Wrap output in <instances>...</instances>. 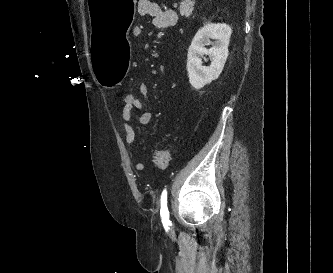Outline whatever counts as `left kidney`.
I'll list each match as a JSON object with an SVG mask.
<instances>
[{
	"instance_id": "1",
	"label": "left kidney",
	"mask_w": 333,
	"mask_h": 273,
	"mask_svg": "<svg viewBox=\"0 0 333 273\" xmlns=\"http://www.w3.org/2000/svg\"><path fill=\"white\" fill-rule=\"evenodd\" d=\"M231 33L229 25L208 23L195 34L187 54L188 77L193 88L201 89L219 77L228 57ZM210 39L215 42L210 49H206ZM204 55L209 56L210 66L202 65Z\"/></svg>"
}]
</instances>
